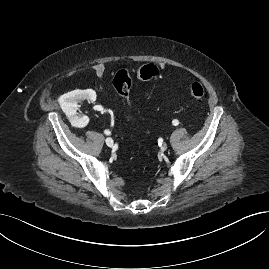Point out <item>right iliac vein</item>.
Wrapping results in <instances>:
<instances>
[{"label":"right iliac vein","mask_w":269,"mask_h":269,"mask_svg":"<svg viewBox=\"0 0 269 269\" xmlns=\"http://www.w3.org/2000/svg\"><path fill=\"white\" fill-rule=\"evenodd\" d=\"M105 142L108 147H112L114 145L113 139L110 137L106 138Z\"/></svg>","instance_id":"63e3f726"}]
</instances>
